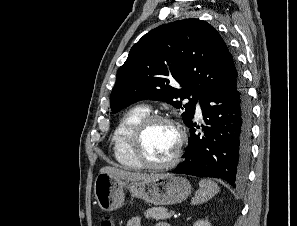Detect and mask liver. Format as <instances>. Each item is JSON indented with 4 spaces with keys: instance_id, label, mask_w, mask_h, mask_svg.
<instances>
[{
    "instance_id": "6515ba94",
    "label": "liver",
    "mask_w": 297,
    "mask_h": 226,
    "mask_svg": "<svg viewBox=\"0 0 297 226\" xmlns=\"http://www.w3.org/2000/svg\"><path fill=\"white\" fill-rule=\"evenodd\" d=\"M100 173H109L117 179L127 181H143L159 177L161 174H145L130 172L115 167L106 166L100 169Z\"/></svg>"
}]
</instances>
